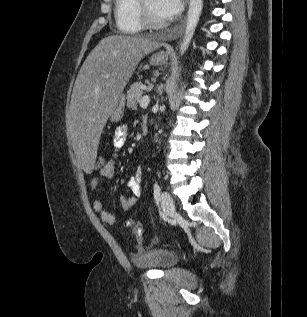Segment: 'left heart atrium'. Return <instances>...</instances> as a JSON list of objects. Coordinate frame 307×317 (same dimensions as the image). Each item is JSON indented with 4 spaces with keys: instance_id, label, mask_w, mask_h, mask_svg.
<instances>
[{
    "instance_id": "left-heart-atrium-1",
    "label": "left heart atrium",
    "mask_w": 307,
    "mask_h": 317,
    "mask_svg": "<svg viewBox=\"0 0 307 317\" xmlns=\"http://www.w3.org/2000/svg\"><path fill=\"white\" fill-rule=\"evenodd\" d=\"M158 12L166 17L177 15L182 9V0H156Z\"/></svg>"
}]
</instances>
